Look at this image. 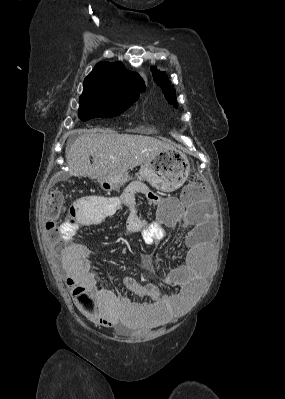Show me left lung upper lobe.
<instances>
[{"mask_svg":"<svg viewBox=\"0 0 285 399\" xmlns=\"http://www.w3.org/2000/svg\"><path fill=\"white\" fill-rule=\"evenodd\" d=\"M154 81L161 87L167 101L171 104L176 105V93L174 89L171 88V82L168 80L167 75L163 72L158 71L154 68L152 71Z\"/></svg>","mask_w":285,"mask_h":399,"instance_id":"5c2ea615","label":"left lung upper lobe"}]
</instances>
